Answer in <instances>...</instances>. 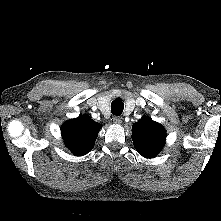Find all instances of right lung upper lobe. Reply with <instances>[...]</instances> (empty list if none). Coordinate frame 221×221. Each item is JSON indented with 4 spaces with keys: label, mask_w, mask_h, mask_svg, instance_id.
<instances>
[{
    "label": "right lung upper lobe",
    "mask_w": 221,
    "mask_h": 221,
    "mask_svg": "<svg viewBox=\"0 0 221 221\" xmlns=\"http://www.w3.org/2000/svg\"><path fill=\"white\" fill-rule=\"evenodd\" d=\"M100 124L87 115L65 122L61 128L66 147L76 156L87 154L94 146Z\"/></svg>",
    "instance_id": "obj_1"
}]
</instances>
